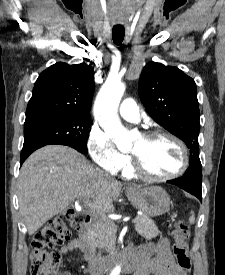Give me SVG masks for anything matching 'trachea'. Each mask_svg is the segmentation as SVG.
I'll use <instances>...</instances> for the list:
<instances>
[{
	"mask_svg": "<svg viewBox=\"0 0 225 275\" xmlns=\"http://www.w3.org/2000/svg\"><path fill=\"white\" fill-rule=\"evenodd\" d=\"M125 29L124 27L114 26L112 29L113 41L116 45H120L124 39Z\"/></svg>",
	"mask_w": 225,
	"mask_h": 275,
	"instance_id": "obj_1",
	"label": "trachea"
}]
</instances>
